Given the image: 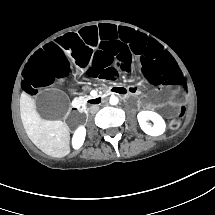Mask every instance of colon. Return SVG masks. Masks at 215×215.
<instances>
[{
  "label": "colon",
  "instance_id": "obj_1",
  "mask_svg": "<svg viewBox=\"0 0 215 215\" xmlns=\"http://www.w3.org/2000/svg\"><path fill=\"white\" fill-rule=\"evenodd\" d=\"M186 113V107L185 106H180L177 110V114L176 116H174L172 119H171V122H170V126L173 128V129H176V128H179L180 125H181V121H182V118L184 117Z\"/></svg>",
  "mask_w": 215,
  "mask_h": 215
}]
</instances>
